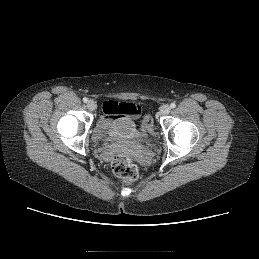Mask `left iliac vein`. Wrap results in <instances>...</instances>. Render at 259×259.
Returning <instances> with one entry per match:
<instances>
[{"mask_svg":"<svg viewBox=\"0 0 259 259\" xmlns=\"http://www.w3.org/2000/svg\"><path fill=\"white\" fill-rule=\"evenodd\" d=\"M170 111H171V107L168 104H164L160 109V112L162 115H168Z\"/></svg>","mask_w":259,"mask_h":259,"instance_id":"4c4485c4","label":"left iliac vein"}]
</instances>
